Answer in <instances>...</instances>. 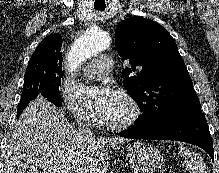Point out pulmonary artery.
<instances>
[{"mask_svg": "<svg viewBox=\"0 0 219 173\" xmlns=\"http://www.w3.org/2000/svg\"><path fill=\"white\" fill-rule=\"evenodd\" d=\"M112 67L111 57L109 55H100L86 65L84 74L89 79H97L106 75Z\"/></svg>", "mask_w": 219, "mask_h": 173, "instance_id": "obj_1", "label": "pulmonary artery"}]
</instances>
